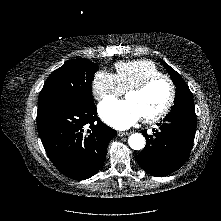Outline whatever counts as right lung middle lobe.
<instances>
[{
    "label": "right lung middle lobe",
    "mask_w": 221,
    "mask_h": 221,
    "mask_svg": "<svg viewBox=\"0 0 221 221\" xmlns=\"http://www.w3.org/2000/svg\"><path fill=\"white\" fill-rule=\"evenodd\" d=\"M99 67L85 59H72L51 73L39 95L38 108L65 100L91 97V84Z\"/></svg>",
    "instance_id": "obj_1"
}]
</instances>
